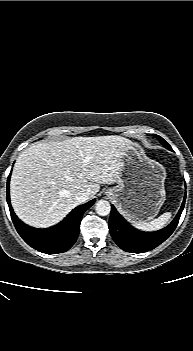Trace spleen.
<instances>
[{
    "label": "spleen",
    "instance_id": "3e777b00",
    "mask_svg": "<svg viewBox=\"0 0 193 351\" xmlns=\"http://www.w3.org/2000/svg\"><path fill=\"white\" fill-rule=\"evenodd\" d=\"M170 218H171V213L166 212L150 222H132V224L135 227H137L141 230H144V231H154V230H158V229L162 228L163 226H165L168 223V221L170 220Z\"/></svg>",
    "mask_w": 193,
    "mask_h": 351
}]
</instances>
